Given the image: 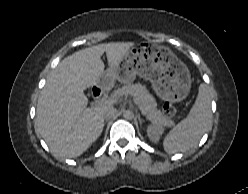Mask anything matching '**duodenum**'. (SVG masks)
<instances>
[{
  "instance_id": "1",
  "label": "duodenum",
  "mask_w": 248,
  "mask_h": 194,
  "mask_svg": "<svg viewBox=\"0 0 248 194\" xmlns=\"http://www.w3.org/2000/svg\"><path fill=\"white\" fill-rule=\"evenodd\" d=\"M106 89V86L103 85V84H100V85H95L94 87H92L91 89V97L94 99V100H98L99 98L102 97L104 91Z\"/></svg>"
}]
</instances>
